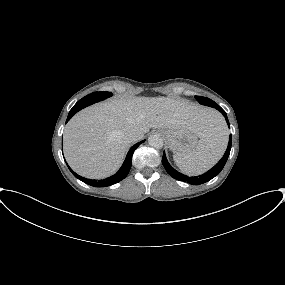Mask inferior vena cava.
I'll return each mask as SVG.
<instances>
[{
    "label": "inferior vena cava",
    "mask_w": 285,
    "mask_h": 285,
    "mask_svg": "<svg viewBox=\"0 0 285 285\" xmlns=\"http://www.w3.org/2000/svg\"><path fill=\"white\" fill-rule=\"evenodd\" d=\"M123 139L126 143L130 144L140 140L141 136L136 132L129 131L124 134Z\"/></svg>",
    "instance_id": "602c4592"
}]
</instances>
